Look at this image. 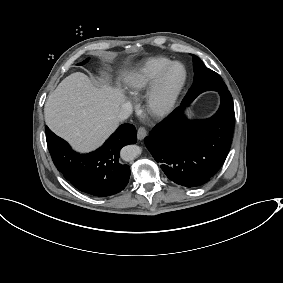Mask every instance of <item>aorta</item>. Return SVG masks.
I'll use <instances>...</instances> for the list:
<instances>
[{"label":"aorta","mask_w":283,"mask_h":283,"mask_svg":"<svg viewBox=\"0 0 283 283\" xmlns=\"http://www.w3.org/2000/svg\"><path fill=\"white\" fill-rule=\"evenodd\" d=\"M142 149L137 145H127L121 150V158L124 161H132L141 154Z\"/></svg>","instance_id":"762f6f07"}]
</instances>
